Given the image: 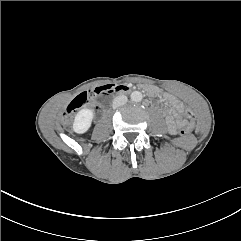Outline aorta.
Returning <instances> with one entry per match:
<instances>
[{
    "instance_id": "1",
    "label": "aorta",
    "mask_w": 241,
    "mask_h": 241,
    "mask_svg": "<svg viewBox=\"0 0 241 241\" xmlns=\"http://www.w3.org/2000/svg\"><path fill=\"white\" fill-rule=\"evenodd\" d=\"M143 99V95L139 91H134L131 93V100L134 102H139Z\"/></svg>"
}]
</instances>
